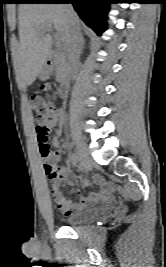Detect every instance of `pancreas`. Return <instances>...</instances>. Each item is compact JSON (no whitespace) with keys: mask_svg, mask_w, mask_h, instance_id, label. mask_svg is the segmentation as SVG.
I'll return each instance as SVG.
<instances>
[{"mask_svg":"<svg viewBox=\"0 0 166 267\" xmlns=\"http://www.w3.org/2000/svg\"><path fill=\"white\" fill-rule=\"evenodd\" d=\"M69 73V62L63 48H59L56 54V78L59 80Z\"/></svg>","mask_w":166,"mask_h":267,"instance_id":"cf45deb5","label":"pancreas"}]
</instances>
